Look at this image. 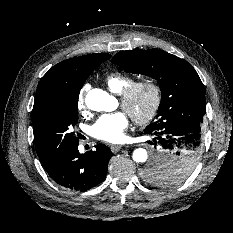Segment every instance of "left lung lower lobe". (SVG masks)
I'll return each mask as SVG.
<instances>
[{
  "instance_id": "left-lung-lower-lobe-1",
  "label": "left lung lower lobe",
  "mask_w": 233,
  "mask_h": 233,
  "mask_svg": "<svg viewBox=\"0 0 233 233\" xmlns=\"http://www.w3.org/2000/svg\"><path fill=\"white\" fill-rule=\"evenodd\" d=\"M201 123L202 121L197 118H182L167 121L158 128H145V134L155 135L153 141H148V143L158 149L151 162L164 164L182 155L200 157L202 152ZM163 153L168 154L164 162L160 159Z\"/></svg>"
}]
</instances>
